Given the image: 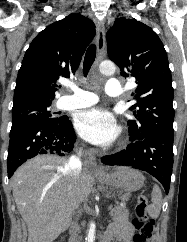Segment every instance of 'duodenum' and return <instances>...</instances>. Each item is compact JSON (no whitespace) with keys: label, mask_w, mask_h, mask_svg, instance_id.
<instances>
[{"label":"duodenum","mask_w":187,"mask_h":242,"mask_svg":"<svg viewBox=\"0 0 187 242\" xmlns=\"http://www.w3.org/2000/svg\"><path fill=\"white\" fill-rule=\"evenodd\" d=\"M111 241V237L108 234H104L101 238L100 242H110Z\"/></svg>","instance_id":"1"}]
</instances>
